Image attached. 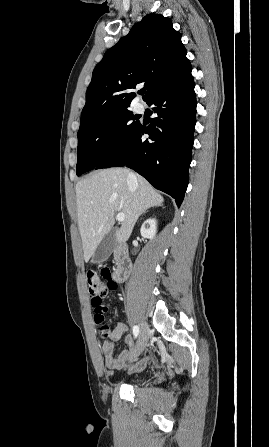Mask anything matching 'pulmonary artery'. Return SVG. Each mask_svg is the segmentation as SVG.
Listing matches in <instances>:
<instances>
[{"label": "pulmonary artery", "instance_id": "pulmonary-artery-1", "mask_svg": "<svg viewBox=\"0 0 269 447\" xmlns=\"http://www.w3.org/2000/svg\"><path fill=\"white\" fill-rule=\"evenodd\" d=\"M144 108H145L144 103L140 102V103L137 104V110H138V111H143Z\"/></svg>", "mask_w": 269, "mask_h": 447}]
</instances>
